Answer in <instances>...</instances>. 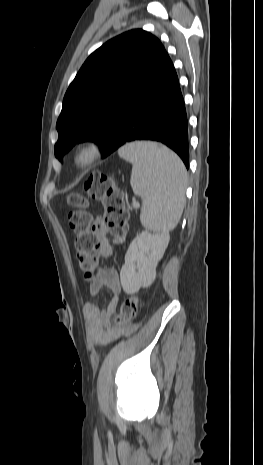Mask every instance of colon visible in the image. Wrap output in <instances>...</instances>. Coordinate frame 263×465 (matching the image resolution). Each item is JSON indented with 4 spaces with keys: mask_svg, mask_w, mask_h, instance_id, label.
Here are the masks:
<instances>
[{
    "mask_svg": "<svg viewBox=\"0 0 263 465\" xmlns=\"http://www.w3.org/2000/svg\"><path fill=\"white\" fill-rule=\"evenodd\" d=\"M87 196L101 201L104 215L101 218L116 242H123L128 232V211L125 207L122 191L112 177L91 174L84 183ZM68 203L73 207L69 213V226L75 233V250L79 268L87 280L93 278L98 264V238L94 232L91 215L86 211L87 199L81 194H71ZM139 310L138 298H127L120 310L112 317V325L117 329H128Z\"/></svg>",
    "mask_w": 263,
    "mask_h": 465,
    "instance_id": "5ec220e1",
    "label": "colon"
}]
</instances>
